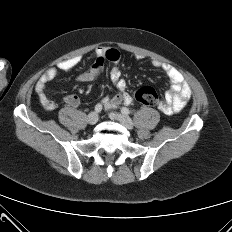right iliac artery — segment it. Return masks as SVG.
I'll list each match as a JSON object with an SVG mask.
<instances>
[{
    "label": "right iliac artery",
    "instance_id": "82829eb1",
    "mask_svg": "<svg viewBox=\"0 0 232 232\" xmlns=\"http://www.w3.org/2000/svg\"><path fill=\"white\" fill-rule=\"evenodd\" d=\"M101 110H102V104L98 103V104L95 106V112H96V113H99V112H101Z\"/></svg>",
    "mask_w": 232,
    "mask_h": 232
}]
</instances>
